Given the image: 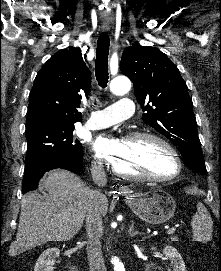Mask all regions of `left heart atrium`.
I'll return each instance as SVG.
<instances>
[{
    "instance_id": "1",
    "label": "left heart atrium",
    "mask_w": 221,
    "mask_h": 271,
    "mask_svg": "<svg viewBox=\"0 0 221 271\" xmlns=\"http://www.w3.org/2000/svg\"><path fill=\"white\" fill-rule=\"evenodd\" d=\"M109 138L99 136L93 142V148L101 157H137V152H131V148H120L121 142H109Z\"/></svg>"
}]
</instances>
